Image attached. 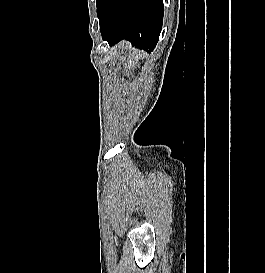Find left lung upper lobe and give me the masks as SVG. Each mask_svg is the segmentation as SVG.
<instances>
[{
	"label": "left lung upper lobe",
	"mask_w": 265,
	"mask_h": 273,
	"mask_svg": "<svg viewBox=\"0 0 265 273\" xmlns=\"http://www.w3.org/2000/svg\"><path fill=\"white\" fill-rule=\"evenodd\" d=\"M97 14H98L99 22L101 25L106 17V12L105 10H102L100 7L97 6Z\"/></svg>",
	"instance_id": "5c2ea615"
}]
</instances>
